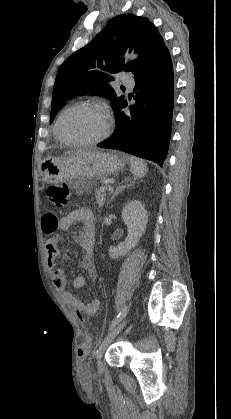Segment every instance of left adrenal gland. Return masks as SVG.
Segmentation results:
<instances>
[{
    "mask_svg": "<svg viewBox=\"0 0 231 419\" xmlns=\"http://www.w3.org/2000/svg\"><path fill=\"white\" fill-rule=\"evenodd\" d=\"M128 181H129L128 179H125V182H128ZM133 185H134V182L130 181L129 184H124V185H121V186L117 187L116 191L113 193L110 200L107 202V205H109L110 202L115 198V196L120 194L125 188L131 187Z\"/></svg>",
    "mask_w": 231,
    "mask_h": 419,
    "instance_id": "obj_1",
    "label": "left adrenal gland"
}]
</instances>
